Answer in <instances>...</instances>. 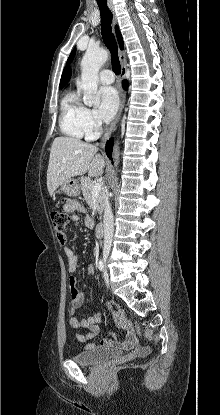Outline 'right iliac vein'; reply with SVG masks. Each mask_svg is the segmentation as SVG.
<instances>
[{"label":"right iliac vein","mask_w":220,"mask_h":415,"mask_svg":"<svg viewBox=\"0 0 220 415\" xmlns=\"http://www.w3.org/2000/svg\"><path fill=\"white\" fill-rule=\"evenodd\" d=\"M103 255H104V261L106 262V261H107V259H108V255H109V253H108V252H105Z\"/></svg>","instance_id":"right-iliac-vein-1"}]
</instances>
